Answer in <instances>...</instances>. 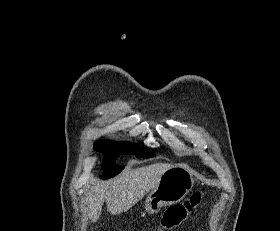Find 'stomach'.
I'll return each mask as SVG.
<instances>
[{"mask_svg": "<svg viewBox=\"0 0 280 231\" xmlns=\"http://www.w3.org/2000/svg\"><path fill=\"white\" fill-rule=\"evenodd\" d=\"M194 179L185 167L172 165L161 175L156 187L152 189L145 201V211L157 213L163 205L178 203L191 191Z\"/></svg>", "mask_w": 280, "mask_h": 231, "instance_id": "stomach-1", "label": "stomach"}]
</instances>
